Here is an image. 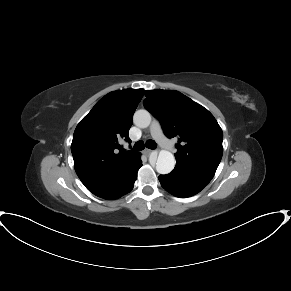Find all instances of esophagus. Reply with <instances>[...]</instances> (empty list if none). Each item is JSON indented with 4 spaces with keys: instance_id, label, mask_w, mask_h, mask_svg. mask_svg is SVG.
<instances>
[{
    "instance_id": "34e87169",
    "label": "esophagus",
    "mask_w": 291,
    "mask_h": 291,
    "mask_svg": "<svg viewBox=\"0 0 291 291\" xmlns=\"http://www.w3.org/2000/svg\"><path fill=\"white\" fill-rule=\"evenodd\" d=\"M151 152H152V150H151V149H148V148H145L144 151H143V153H144L145 155H148V154H150Z\"/></svg>"
}]
</instances>
